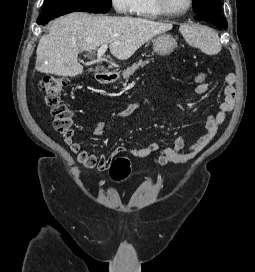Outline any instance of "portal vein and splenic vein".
<instances>
[{
  "instance_id": "1",
  "label": "portal vein and splenic vein",
  "mask_w": 255,
  "mask_h": 272,
  "mask_svg": "<svg viewBox=\"0 0 255 272\" xmlns=\"http://www.w3.org/2000/svg\"><path fill=\"white\" fill-rule=\"evenodd\" d=\"M108 48L107 44H103L100 46L97 52V61L102 62V56L105 54L106 50Z\"/></svg>"
}]
</instances>
